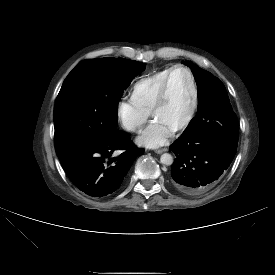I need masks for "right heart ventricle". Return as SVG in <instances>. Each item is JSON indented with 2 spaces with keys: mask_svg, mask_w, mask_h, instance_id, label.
<instances>
[{
  "mask_svg": "<svg viewBox=\"0 0 275 275\" xmlns=\"http://www.w3.org/2000/svg\"><path fill=\"white\" fill-rule=\"evenodd\" d=\"M171 67L139 79L132 87L131 98L142 108L151 111Z\"/></svg>",
  "mask_w": 275,
  "mask_h": 275,
  "instance_id": "e07e8e85",
  "label": "right heart ventricle"
}]
</instances>
